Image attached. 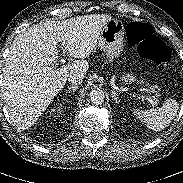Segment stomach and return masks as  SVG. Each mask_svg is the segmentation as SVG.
Wrapping results in <instances>:
<instances>
[{"label":"stomach","instance_id":"stomach-1","mask_svg":"<svg viewBox=\"0 0 183 183\" xmlns=\"http://www.w3.org/2000/svg\"><path fill=\"white\" fill-rule=\"evenodd\" d=\"M124 34L125 27L122 21L117 19H111L102 28L97 45L104 51L105 55L110 60L118 57L123 51ZM121 79L129 84L136 80L135 76L131 74H125Z\"/></svg>","mask_w":183,"mask_h":183}]
</instances>
